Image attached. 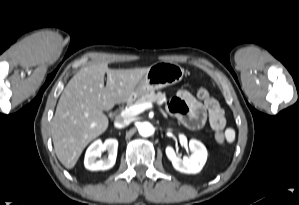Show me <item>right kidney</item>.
<instances>
[{
    "label": "right kidney",
    "mask_w": 299,
    "mask_h": 205,
    "mask_svg": "<svg viewBox=\"0 0 299 205\" xmlns=\"http://www.w3.org/2000/svg\"><path fill=\"white\" fill-rule=\"evenodd\" d=\"M118 141L116 139H106L94 141L87 149L84 159L85 168L91 171L107 170L114 166L117 157ZM108 151V157L97 160L103 151Z\"/></svg>",
    "instance_id": "obj_1"
}]
</instances>
